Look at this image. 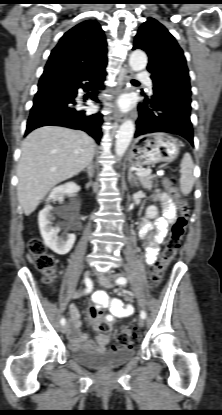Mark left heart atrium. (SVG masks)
<instances>
[{
    "label": "left heart atrium",
    "instance_id": "obj_1",
    "mask_svg": "<svg viewBox=\"0 0 222 415\" xmlns=\"http://www.w3.org/2000/svg\"><path fill=\"white\" fill-rule=\"evenodd\" d=\"M123 106H126V103L125 102L123 103Z\"/></svg>",
    "mask_w": 222,
    "mask_h": 415
}]
</instances>
